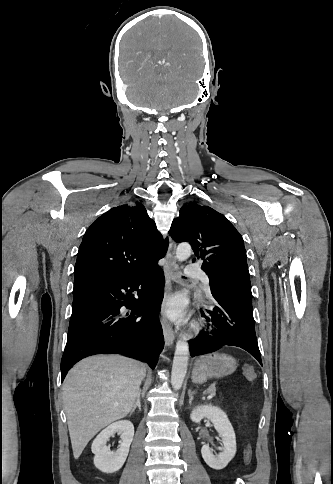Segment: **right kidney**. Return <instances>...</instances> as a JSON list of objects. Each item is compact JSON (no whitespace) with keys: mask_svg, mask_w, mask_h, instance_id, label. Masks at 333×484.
Listing matches in <instances>:
<instances>
[{"mask_svg":"<svg viewBox=\"0 0 333 484\" xmlns=\"http://www.w3.org/2000/svg\"><path fill=\"white\" fill-rule=\"evenodd\" d=\"M121 434L120 447L116 452L110 451L106 446L109 438L115 433ZM134 436V426L128 420H121L109 425L104 429L92 443L94 465L103 473L111 474L117 472L126 461L129 447Z\"/></svg>","mask_w":333,"mask_h":484,"instance_id":"1","label":"right kidney"}]
</instances>
